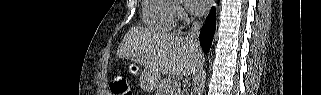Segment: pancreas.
Here are the masks:
<instances>
[{
	"instance_id": "obj_1",
	"label": "pancreas",
	"mask_w": 321,
	"mask_h": 95,
	"mask_svg": "<svg viewBox=\"0 0 321 95\" xmlns=\"http://www.w3.org/2000/svg\"><path fill=\"white\" fill-rule=\"evenodd\" d=\"M171 80H164L159 83L156 95H179V89L174 88Z\"/></svg>"
}]
</instances>
